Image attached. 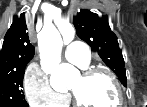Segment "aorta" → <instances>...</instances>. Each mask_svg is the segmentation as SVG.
<instances>
[{"mask_svg": "<svg viewBox=\"0 0 147 107\" xmlns=\"http://www.w3.org/2000/svg\"><path fill=\"white\" fill-rule=\"evenodd\" d=\"M74 36L73 30L69 38ZM38 45L41 59V67L44 72L51 75L50 84L55 90H62L69 86L72 78L79 75L78 70L67 63L61 64V48L63 41L56 27L46 23L39 34Z\"/></svg>", "mask_w": 147, "mask_h": 107, "instance_id": "1", "label": "aorta"}]
</instances>
